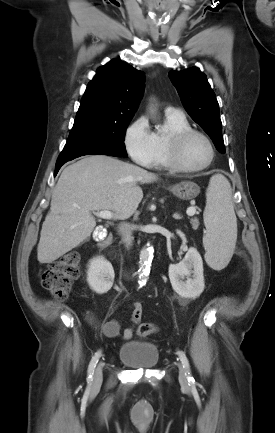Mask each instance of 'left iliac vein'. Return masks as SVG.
I'll list each match as a JSON object with an SVG mask.
<instances>
[{
	"instance_id": "1",
	"label": "left iliac vein",
	"mask_w": 275,
	"mask_h": 433,
	"mask_svg": "<svg viewBox=\"0 0 275 433\" xmlns=\"http://www.w3.org/2000/svg\"><path fill=\"white\" fill-rule=\"evenodd\" d=\"M179 368V380L182 384H187V375L186 370L181 363H178Z\"/></svg>"
}]
</instances>
